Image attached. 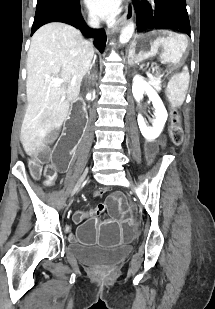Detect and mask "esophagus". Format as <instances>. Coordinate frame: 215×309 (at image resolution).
I'll use <instances>...</instances> for the list:
<instances>
[{
  "label": "esophagus",
  "instance_id": "34e87169",
  "mask_svg": "<svg viewBox=\"0 0 215 309\" xmlns=\"http://www.w3.org/2000/svg\"><path fill=\"white\" fill-rule=\"evenodd\" d=\"M134 15V7L131 0H126L125 3V13L122 20V23L128 22L133 18ZM120 23L117 25H108L107 35L111 37L117 30L120 28Z\"/></svg>",
  "mask_w": 215,
  "mask_h": 309
}]
</instances>
